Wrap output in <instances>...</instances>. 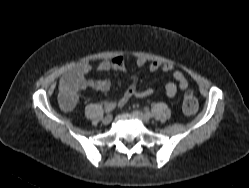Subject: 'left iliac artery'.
<instances>
[{
    "label": "left iliac artery",
    "instance_id": "obj_1",
    "mask_svg": "<svg viewBox=\"0 0 249 188\" xmlns=\"http://www.w3.org/2000/svg\"><path fill=\"white\" fill-rule=\"evenodd\" d=\"M145 113H146V115L149 116V117L152 116V114H151V112H150L149 110H146Z\"/></svg>",
    "mask_w": 249,
    "mask_h": 188
}]
</instances>
